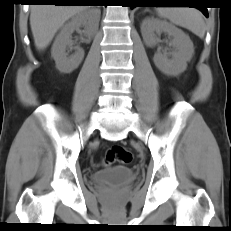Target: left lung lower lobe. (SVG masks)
<instances>
[{
	"instance_id": "left-lung-lower-lobe-1",
	"label": "left lung lower lobe",
	"mask_w": 231,
	"mask_h": 231,
	"mask_svg": "<svg viewBox=\"0 0 231 231\" xmlns=\"http://www.w3.org/2000/svg\"><path fill=\"white\" fill-rule=\"evenodd\" d=\"M134 2L140 4L139 6H142V7H145V6L154 7L158 3H164V2H161V0H135ZM197 5L202 6L203 4H197ZM197 8L200 9L206 17H208V12H207L206 7H197Z\"/></svg>"
}]
</instances>
